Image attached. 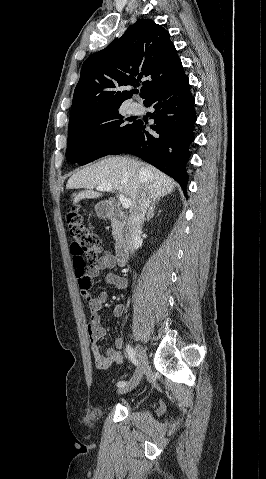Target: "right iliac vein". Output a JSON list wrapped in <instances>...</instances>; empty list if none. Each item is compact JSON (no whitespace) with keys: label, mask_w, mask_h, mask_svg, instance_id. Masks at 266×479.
I'll return each mask as SVG.
<instances>
[{"label":"right iliac vein","mask_w":266,"mask_h":479,"mask_svg":"<svg viewBox=\"0 0 266 479\" xmlns=\"http://www.w3.org/2000/svg\"><path fill=\"white\" fill-rule=\"evenodd\" d=\"M136 349L139 365L131 380L124 387H119V389L117 390L118 394H124L129 391H132L139 384L142 376L147 370L148 360L144 348L140 344H138Z\"/></svg>","instance_id":"63e3f726"}]
</instances>
